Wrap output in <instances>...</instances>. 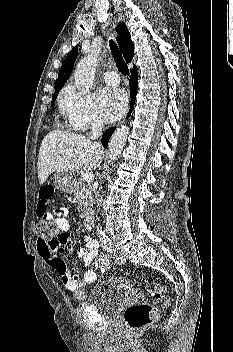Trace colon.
Returning <instances> with one entry per match:
<instances>
[{
  "label": "colon",
  "instance_id": "5ec220e1",
  "mask_svg": "<svg viewBox=\"0 0 233 352\" xmlns=\"http://www.w3.org/2000/svg\"><path fill=\"white\" fill-rule=\"evenodd\" d=\"M33 230L38 240L43 242L53 240L58 235L56 227L48 219H38L34 223ZM92 262H94L96 268L103 271H107L111 267L110 260L106 255L96 256ZM165 291V285L155 284L149 290L151 303L141 302L128 306L123 316L126 328L136 332L153 322L158 315L157 305L160 303L163 307L170 305L169 299L164 298ZM74 296L76 299L83 300L87 294L85 289L79 286L74 290Z\"/></svg>",
  "mask_w": 233,
  "mask_h": 352
}]
</instances>
